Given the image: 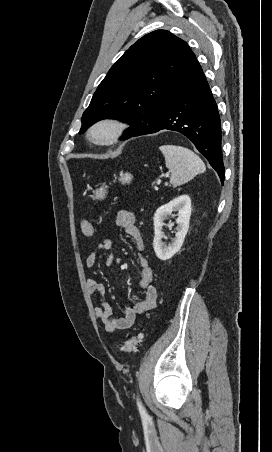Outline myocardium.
Listing matches in <instances>:
<instances>
[{
	"mask_svg": "<svg viewBox=\"0 0 272 452\" xmlns=\"http://www.w3.org/2000/svg\"><path fill=\"white\" fill-rule=\"evenodd\" d=\"M125 130L124 123L112 117L95 121L87 130V138L96 145H110L117 142Z\"/></svg>",
	"mask_w": 272,
	"mask_h": 452,
	"instance_id": "1",
	"label": "myocardium"
}]
</instances>
